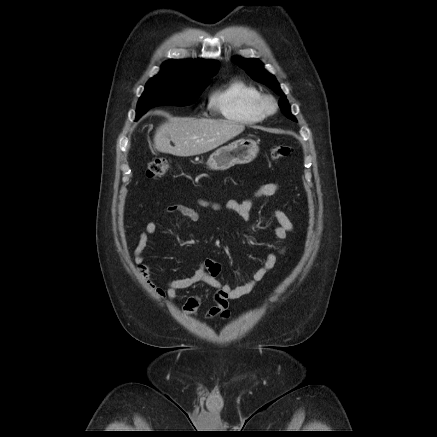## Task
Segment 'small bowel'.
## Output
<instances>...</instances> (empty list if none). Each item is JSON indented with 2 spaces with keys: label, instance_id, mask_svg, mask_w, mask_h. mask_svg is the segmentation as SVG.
Returning <instances> with one entry per match:
<instances>
[{
  "label": "small bowel",
  "instance_id": "small-bowel-1",
  "mask_svg": "<svg viewBox=\"0 0 437 437\" xmlns=\"http://www.w3.org/2000/svg\"><path fill=\"white\" fill-rule=\"evenodd\" d=\"M278 189L279 186L276 183L264 184L249 198L242 201H227L225 208L234 211L245 221H249L254 201L259 198L271 197L278 192ZM196 203L201 207L210 208L215 211L222 208L218 203L205 199H198ZM177 213L191 221H196L199 218V214L195 209L184 204L170 205L164 209L163 214L164 217H168ZM274 217L276 219V225L274 226L275 236L280 240H286L288 233L293 230V224L290 218L281 210H275ZM157 229L158 225L156 222H148L139 236V241L134 251L135 262L144 273L145 278H148L149 267L144 263V251L147 247L149 237L155 234ZM284 252L285 249H281L278 254H268L258 270L252 275L251 279L245 284L235 288H232L228 284L222 283L219 280L220 264L212 259L203 260L192 276L168 282L166 289L156 287L152 284L151 287L159 296L166 297L170 301H173L180 290L187 289L198 282H205L216 289V293L214 294V305L206 312V318L211 319L214 317H220L226 319L230 315V301L249 294L257 283H259L267 273L275 267L279 256L284 254ZM200 306L201 296L191 295L186 299L183 305V310L188 315H195Z\"/></svg>",
  "mask_w": 437,
  "mask_h": 437
}]
</instances>
